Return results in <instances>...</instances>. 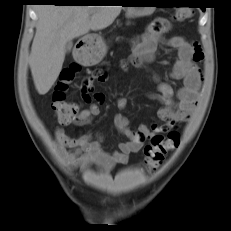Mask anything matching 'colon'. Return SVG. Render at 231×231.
I'll list each match as a JSON object with an SVG mask.
<instances>
[{
  "instance_id": "5ec220e1",
  "label": "colon",
  "mask_w": 231,
  "mask_h": 231,
  "mask_svg": "<svg viewBox=\"0 0 231 231\" xmlns=\"http://www.w3.org/2000/svg\"><path fill=\"white\" fill-rule=\"evenodd\" d=\"M191 16L189 8H182L176 11L174 19L176 21H184ZM80 67L72 64L63 69L60 80L53 94V110L58 121L61 124L70 123L79 113V107L73 102L66 100V89L74 80ZM180 142V135L177 131H171L167 137L156 134L151 137L150 143L144 148L145 163L149 171H155L164 162L169 151L175 149Z\"/></svg>"
}]
</instances>
